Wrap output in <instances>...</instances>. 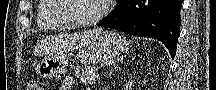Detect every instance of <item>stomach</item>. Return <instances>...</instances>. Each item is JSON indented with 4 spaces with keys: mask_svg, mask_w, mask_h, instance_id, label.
<instances>
[{
    "mask_svg": "<svg viewBox=\"0 0 216 90\" xmlns=\"http://www.w3.org/2000/svg\"><path fill=\"white\" fill-rule=\"evenodd\" d=\"M126 47V41L118 33L105 31L83 46L79 55L85 63H99L119 55ZM65 71L66 60L63 57L46 58L41 61L37 69L42 78L57 77Z\"/></svg>",
    "mask_w": 216,
    "mask_h": 90,
    "instance_id": "1",
    "label": "stomach"
}]
</instances>
